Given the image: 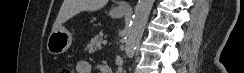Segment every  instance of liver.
Masks as SVG:
<instances>
[{
	"mask_svg": "<svg viewBox=\"0 0 244 73\" xmlns=\"http://www.w3.org/2000/svg\"><path fill=\"white\" fill-rule=\"evenodd\" d=\"M108 0H64L52 31L59 29L64 22L82 11H97L107 4Z\"/></svg>",
	"mask_w": 244,
	"mask_h": 73,
	"instance_id": "obj_1",
	"label": "liver"
}]
</instances>
